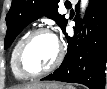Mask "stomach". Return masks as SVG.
Here are the masks:
<instances>
[{"label": "stomach", "mask_w": 107, "mask_h": 89, "mask_svg": "<svg viewBox=\"0 0 107 89\" xmlns=\"http://www.w3.org/2000/svg\"><path fill=\"white\" fill-rule=\"evenodd\" d=\"M33 89H66V87L60 84L51 83V84H46L45 86H37L34 87Z\"/></svg>", "instance_id": "0dacf381"}]
</instances>
